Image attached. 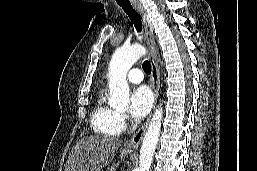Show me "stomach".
Masks as SVG:
<instances>
[{"mask_svg": "<svg viewBox=\"0 0 257 171\" xmlns=\"http://www.w3.org/2000/svg\"><path fill=\"white\" fill-rule=\"evenodd\" d=\"M131 153H132V151L123 149L121 151V158H123V157H125V156H127L128 154H131ZM115 167H116V165L113 164V166L111 168H108V171H115Z\"/></svg>", "mask_w": 257, "mask_h": 171, "instance_id": "obj_1", "label": "stomach"}]
</instances>
